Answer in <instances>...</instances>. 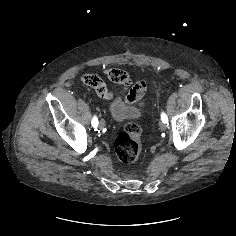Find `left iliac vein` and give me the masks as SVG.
Segmentation results:
<instances>
[{
    "instance_id": "left-iliac-vein-1",
    "label": "left iliac vein",
    "mask_w": 236,
    "mask_h": 236,
    "mask_svg": "<svg viewBox=\"0 0 236 236\" xmlns=\"http://www.w3.org/2000/svg\"><path fill=\"white\" fill-rule=\"evenodd\" d=\"M159 127H160L161 130H165L166 129V123H164L163 121L160 122Z\"/></svg>"
}]
</instances>
